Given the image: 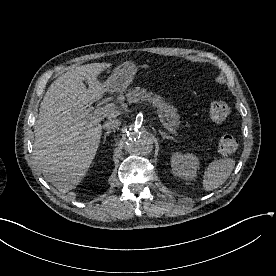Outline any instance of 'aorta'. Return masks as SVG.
Segmentation results:
<instances>
[{"mask_svg": "<svg viewBox=\"0 0 276 276\" xmlns=\"http://www.w3.org/2000/svg\"><path fill=\"white\" fill-rule=\"evenodd\" d=\"M125 149L133 155H148L153 150V138L149 133L131 127L125 134Z\"/></svg>", "mask_w": 276, "mask_h": 276, "instance_id": "1", "label": "aorta"}]
</instances>
